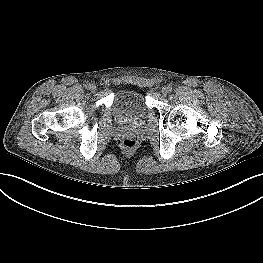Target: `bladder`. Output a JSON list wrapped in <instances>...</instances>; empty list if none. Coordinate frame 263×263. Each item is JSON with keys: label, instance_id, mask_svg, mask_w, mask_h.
<instances>
[{"label": "bladder", "instance_id": "31cf9c89", "mask_svg": "<svg viewBox=\"0 0 263 263\" xmlns=\"http://www.w3.org/2000/svg\"><path fill=\"white\" fill-rule=\"evenodd\" d=\"M111 111L116 119L132 123L145 118L147 107L142 93L133 89H120L114 95Z\"/></svg>", "mask_w": 263, "mask_h": 263}]
</instances>
